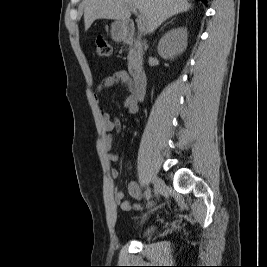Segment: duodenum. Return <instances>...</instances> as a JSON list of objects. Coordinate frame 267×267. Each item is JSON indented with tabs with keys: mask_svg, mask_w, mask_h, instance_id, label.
I'll use <instances>...</instances> for the list:
<instances>
[{
	"mask_svg": "<svg viewBox=\"0 0 267 267\" xmlns=\"http://www.w3.org/2000/svg\"><path fill=\"white\" fill-rule=\"evenodd\" d=\"M124 38L131 40L134 37V23L132 21H126L123 30ZM133 83H132V95L135 99L141 100L144 98L147 85V76L142 69H135L133 71Z\"/></svg>",
	"mask_w": 267,
	"mask_h": 267,
	"instance_id": "1",
	"label": "duodenum"
}]
</instances>
